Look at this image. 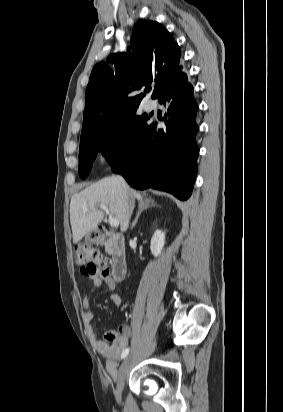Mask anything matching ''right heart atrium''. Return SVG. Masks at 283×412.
I'll return each instance as SVG.
<instances>
[{"label":"right heart atrium","instance_id":"right-heart-atrium-1","mask_svg":"<svg viewBox=\"0 0 283 412\" xmlns=\"http://www.w3.org/2000/svg\"><path fill=\"white\" fill-rule=\"evenodd\" d=\"M125 136L121 132L111 135L101 146L98 157L102 162L109 161L119 154L125 146Z\"/></svg>","mask_w":283,"mask_h":412}]
</instances>
